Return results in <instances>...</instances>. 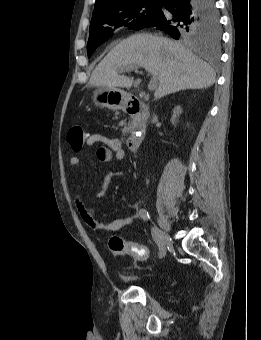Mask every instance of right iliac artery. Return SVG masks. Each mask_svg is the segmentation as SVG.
<instances>
[{"mask_svg": "<svg viewBox=\"0 0 261 340\" xmlns=\"http://www.w3.org/2000/svg\"><path fill=\"white\" fill-rule=\"evenodd\" d=\"M139 215L144 221L150 220L149 212L144 208L139 210ZM151 234H152L153 240L155 241L156 245L158 246V250H159L158 251V258L162 259L166 254L165 245H164L163 238H162V232L157 227L153 226L151 228Z\"/></svg>", "mask_w": 261, "mask_h": 340, "instance_id": "1", "label": "right iliac artery"}]
</instances>
